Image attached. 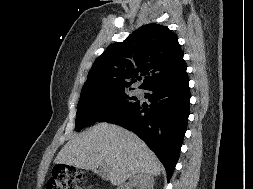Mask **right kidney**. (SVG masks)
Returning <instances> with one entry per match:
<instances>
[{
    "instance_id": "right-kidney-1",
    "label": "right kidney",
    "mask_w": 253,
    "mask_h": 189,
    "mask_svg": "<svg viewBox=\"0 0 253 189\" xmlns=\"http://www.w3.org/2000/svg\"><path fill=\"white\" fill-rule=\"evenodd\" d=\"M154 179L149 174H138L130 178L129 182L121 185L118 189H133V187L138 186L139 189H153Z\"/></svg>"
}]
</instances>
